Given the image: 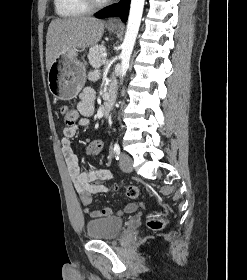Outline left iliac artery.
Instances as JSON below:
<instances>
[{"label": "left iliac artery", "instance_id": "44dca946", "mask_svg": "<svg viewBox=\"0 0 247 280\" xmlns=\"http://www.w3.org/2000/svg\"><path fill=\"white\" fill-rule=\"evenodd\" d=\"M114 155H115V159L119 160V156H120V146L118 143L114 144Z\"/></svg>", "mask_w": 247, "mask_h": 280}]
</instances>
